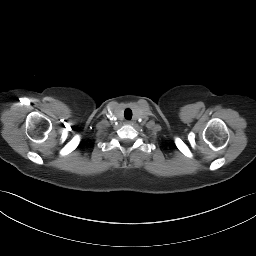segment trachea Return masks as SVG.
<instances>
[{
    "instance_id": "trachea-1",
    "label": "trachea",
    "mask_w": 256,
    "mask_h": 256,
    "mask_svg": "<svg viewBox=\"0 0 256 256\" xmlns=\"http://www.w3.org/2000/svg\"><path fill=\"white\" fill-rule=\"evenodd\" d=\"M124 117L128 120H130L132 118V111L130 109H126L124 111Z\"/></svg>"
}]
</instances>
